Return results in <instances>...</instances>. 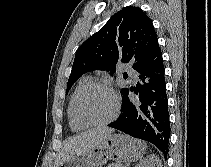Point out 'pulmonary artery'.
Instances as JSON below:
<instances>
[{"label": "pulmonary artery", "mask_w": 211, "mask_h": 167, "mask_svg": "<svg viewBox=\"0 0 211 167\" xmlns=\"http://www.w3.org/2000/svg\"><path fill=\"white\" fill-rule=\"evenodd\" d=\"M133 79L136 80V76L135 75H133Z\"/></svg>", "instance_id": "1"}]
</instances>
